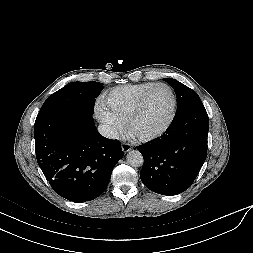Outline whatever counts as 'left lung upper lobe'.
<instances>
[{
    "label": "left lung upper lobe",
    "instance_id": "5c2ea615",
    "mask_svg": "<svg viewBox=\"0 0 253 253\" xmlns=\"http://www.w3.org/2000/svg\"><path fill=\"white\" fill-rule=\"evenodd\" d=\"M164 81L169 83L176 93L177 112L195 105L202 104L198 94L191 88L172 78H165Z\"/></svg>",
    "mask_w": 253,
    "mask_h": 253
}]
</instances>
